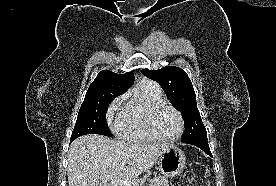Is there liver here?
Masks as SVG:
<instances>
[{"mask_svg":"<svg viewBox=\"0 0 276 186\" xmlns=\"http://www.w3.org/2000/svg\"><path fill=\"white\" fill-rule=\"evenodd\" d=\"M172 145L123 142L101 135L75 139L68 152L69 186H111V180L135 181Z\"/></svg>","mask_w":276,"mask_h":186,"instance_id":"liver-1","label":"liver"}]
</instances>
